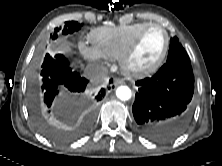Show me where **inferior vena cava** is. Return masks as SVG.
Here are the masks:
<instances>
[{
	"label": "inferior vena cava",
	"instance_id": "inferior-vena-cava-1",
	"mask_svg": "<svg viewBox=\"0 0 222 166\" xmlns=\"http://www.w3.org/2000/svg\"><path fill=\"white\" fill-rule=\"evenodd\" d=\"M108 75V69L100 65H89L85 68L84 76L93 82H102Z\"/></svg>",
	"mask_w": 222,
	"mask_h": 166
}]
</instances>
